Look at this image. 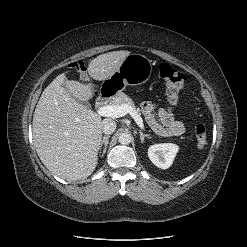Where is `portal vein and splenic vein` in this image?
Instances as JSON below:
<instances>
[{
    "label": "portal vein and splenic vein",
    "mask_w": 247,
    "mask_h": 247,
    "mask_svg": "<svg viewBox=\"0 0 247 247\" xmlns=\"http://www.w3.org/2000/svg\"><path fill=\"white\" fill-rule=\"evenodd\" d=\"M97 113L100 116L112 118H118L125 116L126 114H130L137 123V125L142 130H145L142 118L140 117L138 112L128 104L102 106L97 110Z\"/></svg>",
    "instance_id": "obj_1"
}]
</instances>
